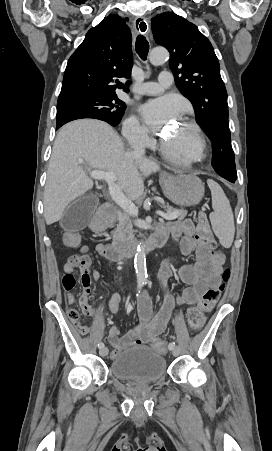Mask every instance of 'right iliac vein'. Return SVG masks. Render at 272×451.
<instances>
[{
    "label": "right iliac vein",
    "instance_id": "1",
    "mask_svg": "<svg viewBox=\"0 0 272 451\" xmlns=\"http://www.w3.org/2000/svg\"><path fill=\"white\" fill-rule=\"evenodd\" d=\"M99 354L101 355V356H106L107 354H108V348L107 347H102L100 350H99Z\"/></svg>",
    "mask_w": 272,
    "mask_h": 451
}]
</instances>
